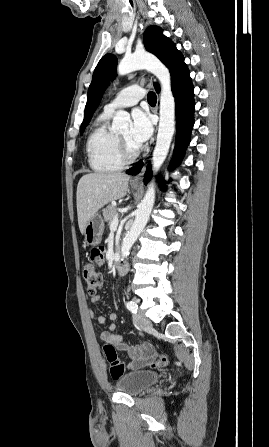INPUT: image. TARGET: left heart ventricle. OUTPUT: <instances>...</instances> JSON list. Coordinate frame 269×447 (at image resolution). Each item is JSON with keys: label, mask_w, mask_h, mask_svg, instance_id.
I'll return each instance as SVG.
<instances>
[{"label": "left heart ventricle", "mask_w": 269, "mask_h": 447, "mask_svg": "<svg viewBox=\"0 0 269 447\" xmlns=\"http://www.w3.org/2000/svg\"><path fill=\"white\" fill-rule=\"evenodd\" d=\"M119 136L133 149L136 150L139 148V145H137L136 143H134L131 139V131L125 130L121 133H119Z\"/></svg>", "instance_id": "b2bd125f"}]
</instances>
